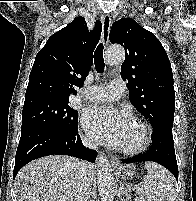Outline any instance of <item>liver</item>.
<instances>
[{
    "label": "liver",
    "instance_id": "6515ba94",
    "mask_svg": "<svg viewBox=\"0 0 196 201\" xmlns=\"http://www.w3.org/2000/svg\"><path fill=\"white\" fill-rule=\"evenodd\" d=\"M77 162L72 157L50 155L28 163L15 178V201H74ZM87 171L91 180L93 165L87 164Z\"/></svg>",
    "mask_w": 196,
    "mask_h": 201
}]
</instances>
